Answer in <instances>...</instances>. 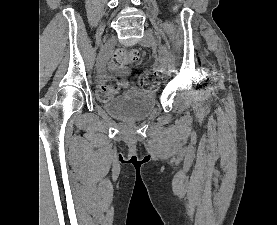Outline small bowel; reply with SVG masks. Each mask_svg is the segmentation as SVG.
Here are the masks:
<instances>
[{
    "mask_svg": "<svg viewBox=\"0 0 277 225\" xmlns=\"http://www.w3.org/2000/svg\"><path fill=\"white\" fill-rule=\"evenodd\" d=\"M98 73H99V78L103 79L104 78V73H105V67L101 66L98 68Z\"/></svg>",
    "mask_w": 277,
    "mask_h": 225,
    "instance_id": "1",
    "label": "small bowel"
}]
</instances>
